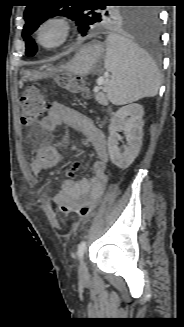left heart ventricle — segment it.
Masks as SVG:
<instances>
[{
  "label": "left heart ventricle",
  "instance_id": "obj_1",
  "mask_svg": "<svg viewBox=\"0 0 184 327\" xmlns=\"http://www.w3.org/2000/svg\"><path fill=\"white\" fill-rule=\"evenodd\" d=\"M60 37V28L56 25L48 26L43 31V41L46 44H53Z\"/></svg>",
  "mask_w": 184,
  "mask_h": 327
}]
</instances>
